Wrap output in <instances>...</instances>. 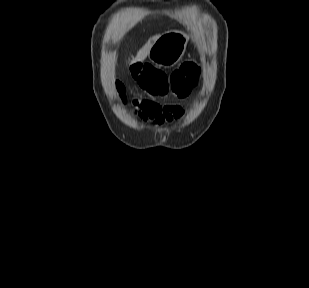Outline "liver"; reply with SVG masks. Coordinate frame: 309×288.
I'll list each match as a JSON object with an SVG mask.
<instances>
[{"label": "liver", "mask_w": 309, "mask_h": 288, "mask_svg": "<svg viewBox=\"0 0 309 288\" xmlns=\"http://www.w3.org/2000/svg\"><path fill=\"white\" fill-rule=\"evenodd\" d=\"M159 36H154L138 51L135 59L132 62L144 61L149 54V51Z\"/></svg>", "instance_id": "1"}]
</instances>
